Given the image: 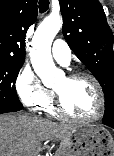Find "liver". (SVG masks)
Returning a JSON list of instances; mask_svg holds the SVG:
<instances>
[{
    "label": "liver",
    "mask_w": 114,
    "mask_h": 156,
    "mask_svg": "<svg viewBox=\"0 0 114 156\" xmlns=\"http://www.w3.org/2000/svg\"><path fill=\"white\" fill-rule=\"evenodd\" d=\"M73 127L26 113L0 115V156H37L45 140H61Z\"/></svg>",
    "instance_id": "6515ba94"
}]
</instances>
